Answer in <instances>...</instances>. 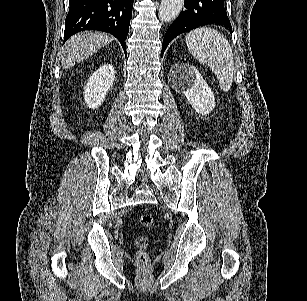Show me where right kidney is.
I'll return each mask as SVG.
<instances>
[{"instance_id": "obj_1", "label": "right kidney", "mask_w": 307, "mask_h": 301, "mask_svg": "<svg viewBox=\"0 0 307 301\" xmlns=\"http://www.w3.org/2000/svg\"><path fill=\"white\" fill-rule=\"evenodd\" d=\"M115 70L112 64H102L92 72L84 86V102L89 108H98L106 98L108 90L113 86Z\"/></svg>"}]
</instances>
